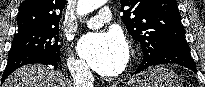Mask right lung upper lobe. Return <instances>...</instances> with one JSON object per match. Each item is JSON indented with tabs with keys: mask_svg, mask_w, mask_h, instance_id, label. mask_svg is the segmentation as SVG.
Here are the masks:
<instances>
[{
	"mask_svg": "<svg viewBox=\"0 0 205 87\" xmlns=\"http://www.w3.org/2000/svg\"><path fill=\"white\" fill-rule=\"evenodd\" d=\"M66 0H24L17 15L18 32L58 28Z\"/></svg>",
	"mask_w": 205,
	"mask_h": 87,
	"instance_id": "right-lung-upper-lobe-1",
	"label": "right lung upper lobe"
}]
</instances>
